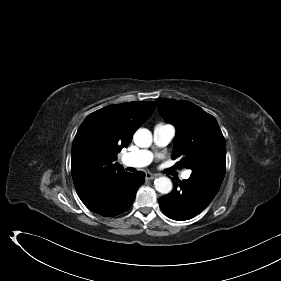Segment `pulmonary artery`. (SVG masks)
I'll list each match as a JSON object with an SVG mask.
<instances>
[{
	"instance_id": "pulmonary-artery-1",
	"label": "pulmonary artery",
	"mask_w": 281,
	"mask_h": 281,
	"mask_svg": "<svg viewBox=\"0 0 281 281\" xmlns=\"http://www.w3.org/2000/svg\"><path fill=\"white\" fill-rule=\"evenodd\" d=\"M175 136V128L169 124H157L153 129V142L155 147L162 148L167 146ZM153 153L149 150H139L128 153L122 157L124 164L131 167H144L151 163ZM191 171L187 170L182 173L183 179H188Z\"/></svg>"
}]
</instances>
